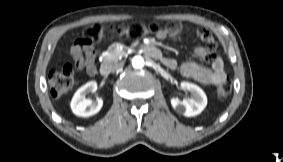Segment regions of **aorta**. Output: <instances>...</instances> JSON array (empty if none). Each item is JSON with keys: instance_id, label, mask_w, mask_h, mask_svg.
I'll list each match as a JSON object with an SVG mask.
<instances>
[{"instance_id": "obj_1", "label": "aorta", "mask_w": 283, "mask_h": 162, "mask_svg": "<svg viewBox=\"0 0 283 162\" xmlns=\"http://www.w3.org/2000/svg\"><path fill=\"white\" fill-rule=\"evenodd\" d=\"M144 65H145V61H144L142 56L137 55V56L133 57V59H132L133 68L141 69V68L144 67Z\"/></svg>"}]
</instances>
